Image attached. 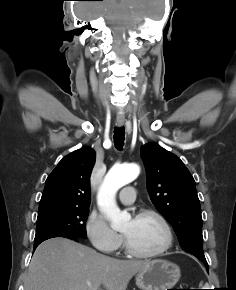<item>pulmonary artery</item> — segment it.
<instances>
[{
	"label": "pulmonary artery",
	"instance_id": "obj_1",
	"mask_svg": "<svg viewBox=\"0 0 236 290\" xmlns=\"http://www.w3.org/2000/svg\"><path fill=\"white\" fill-rule=\"evenodd\" d=\"M136 191L134 187H124L119 195L120 201L124 204H131L135 200Z\"/></svg>",
	"mask_w": 236,
	"mask_h": 290
}]
</instances>
